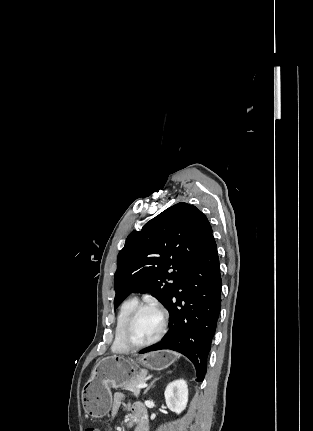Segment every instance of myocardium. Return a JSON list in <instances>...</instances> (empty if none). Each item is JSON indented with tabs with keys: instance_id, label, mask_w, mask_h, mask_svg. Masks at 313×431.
<instances>
[{
	"instance_id": "myocardium-1",
	"label": "myocardium",
	"mask_w": 313,
	"mask_h": 431,
	"mask_svg": "<svg viewBox=\"0 0 313 431\" xmlns=\"http://www.w3.org/2000/svg\"><path fill=\"white\" fill-rule=\"evenodd\" d=\"M146 308H153L159 312V314L161 316V327H160V330L157 333V335L154 338H152L151 340L144 342V343H135L132 341V339L130 337V333H131L132 327L135 323L137 316L139 315V313L142 310H144ZM167 322H168L167 312L158 303L151 302V301L138 303L134 307V309L131 311V313L129 314V316L126 320V323L124 325L123 333H122L123 342L129 349H142L145 347H149V346L155 344L156 342H158L163 337V335L167 329Z\"/></svg>"
}]
</instances>
